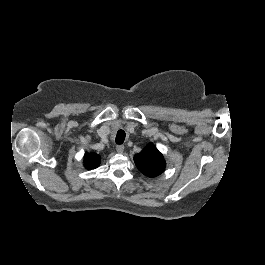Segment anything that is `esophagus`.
Here are the masks:
<instances>
[{"label": "esophagus", "mask_w": 265, "mask_h": 265, "mask_svg": "<svg viewBox=\"0 0 265 265\" xmlns=\"http://www.w3.org/2000/svg\"><path fill=\"white\" fill-rule=\"evenodd\" d=\"M116 151H117L119 154L123 153V151H124V146H123V145H117V146H116Z\"/></svg>", "instance_id": "1"}]
</instances>
